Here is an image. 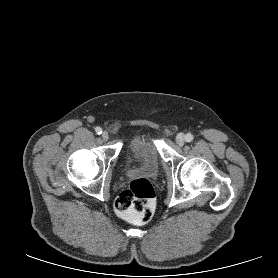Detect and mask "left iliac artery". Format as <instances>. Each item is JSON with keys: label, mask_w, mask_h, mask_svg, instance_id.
I'll return each mask as SVG.
<instances>
[{"label": "left iliac artery", "mask_w": 278, "mask_h": 278, "mask_svg": "<svg viewBox=\"0 0 278 278\" xmlns=\"http://www.w3.org/2000/svg\"><path fill=\"white\" fill-rule=\"evenodd\" d=\"M193 139H194V137L192 134L188 133L185 135L186 142H191V141H193Z\"/></svg>", "instance_id": "obj_1"}]
</instances>
